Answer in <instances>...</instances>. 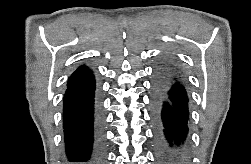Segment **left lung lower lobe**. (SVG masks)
<instances>
[{"label":"left lung lower lobe","mask_w":251,"mask_h":164,"mask_svg":"<svg viewBox=\"0 0 251 164\" xmlns=\"http://www.w3.org/2000/svg\"><path fill=\"white\" fill-rule=\"evenodd\" d=\"M151 108L160 161L184 162L187 158L188 95L181 73L170 62H164L155 72Z\"/></svg>","instance_id":"1"}]
</instances>
